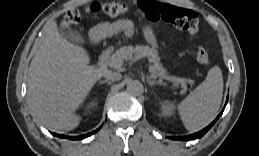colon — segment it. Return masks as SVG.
<instances>
[{
    "mask_svg": "<svg viewBox=\"0 0 259 156\" xmlns=\"http://www.w3.org/2000/svg\"><path fill=\"white\" fill-rule=\"evenodd\" d=\"M139 6L145 16L152 21H165L190 34L198 31L199 23L194 11L152 0H141ZM128 10L127 4L111 1L106 3L94 2L83 9H71L65 13L61 21V28L69 30L78 24L87 14L103 13L109 17L124 15ZM197 61L201 64L209 62L210 54L206 45H199L196 52Z\"/></svg>",
    "mask_w": 259,
    "mask_h": 156,
    "instance_id": "5ec220e1",
    "label": "colon"
}]
</instances>
